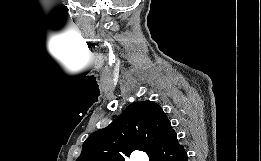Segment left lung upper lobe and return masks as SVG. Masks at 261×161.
I'll list each match as a JSON object with an SVG mask.
<instances>
[{"instance_id":"obj_1","label":"left lung upper lobe","mask_w":261,"mask_h":161,"mask_svg":"<svg viewBox=\"0 0 261 161\" xmlns=\"http://www.w3.org/2000/svg\"><path fill=\"white\" fill-rule=\"evenodd\" d=\"M173 132L158 104L135 102L110 125L92 133L76 161H124L134 150L149 154Z\"/></svg>"}]
</instances>
